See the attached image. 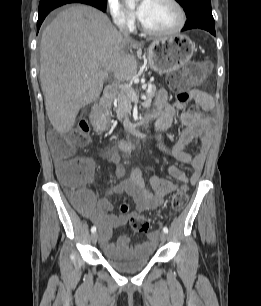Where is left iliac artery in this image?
<instances>
[{
    "instance_id": "1",
    "label": "left iliac artery",
    "mask_w": 261,
    "mask_h": 306,
    "mask_svg": "<svg viewBox=\"0 0 261 306\" xmlns=\"http://www.w3.org/2000/svg\"><path fill=\"white\" fill-rule=\"evenodd\" d=\"M163 232L167 234L168 233V228L167 227H163Z\"/></svg>"
}]
</instances>
